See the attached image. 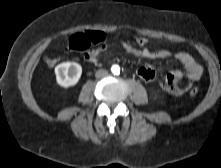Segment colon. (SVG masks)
I'll list each match as a JSON object with an SVG mask.
<instances>
[{
	"mask_svg": "<svg viewBox=\"0 0 221 168\" xmlns=\"http://www.w3.org/2000/svg\"><path fill=\"white\" fill-rule=\"evenodd\" d=\"M104 38L105 35L100 31L76 33L69 38L68 48L75 52L87 51L92 45L103 42ZM135 44L139 47H144L147 44V39L143 36H138L135 38ZM46 64L49 67H54L57 64V59L49 57L46 59ZM189 93L191 96H195L198 93V89L193 87Z\"/></svg>",
	"mask_w": 221,
	"mask_h": 168,
	"instance_id": "5ec220e1",
	"label": "colon"
}]
</instances>
